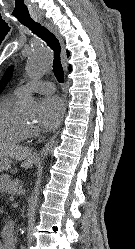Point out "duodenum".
<instances>
[{"instance_id":"410a0bca","label":"duodenum","mask_w":135,"mask_h":249,"mask_svg":"<svg viewBox=\"0 0 135 249\" xmlns=\"http://www.w3.org/2000/svg\"><path fill=\"white\" fill-rule=\"evenodd\" d=\"M3 247H4V249H6V248H7V245L5 244Z\"/></svg>"}]
</instances>
